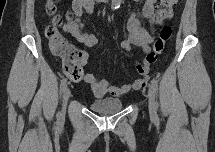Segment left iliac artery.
Segmentation results:
<instances>
[{
    "instance_id": "left-iliac-artery-1",
    "label": "left iliac artery",
    "mask_w": 215,
    "mask_h": 152,
    "mask_svg": "<svg viewBox=\"0 0 215 152\" xmlns=\"http://www.w3.org/2000/svg\"><path fill=\"white\" fill-rule=\"evenodd\" d=\"M151 85H152V88L154 90V93L157 95V93H158V83H157V81L155 79H152L151 80ZM155 104H156V109H157L158 104L157 103H155Z\"/></svg>"
}]
</instances>
